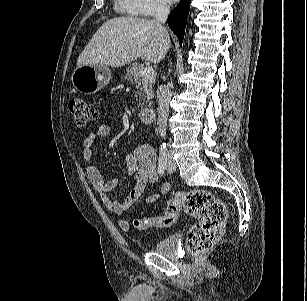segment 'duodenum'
Instances as JSON below:
<instances>
[{"label": "duodenum", "instance_id": "1", "mask_svg": "<svg viewBox=\"0 0 307 301\" xmlns=\"http://www.w3.org/2000/svg\"><path fill=\"white\" fill-rule=\"evenodd\" d=\"M140 123L151 124L155 118V109L152 107L143 108L138 114Z\"/></svg>", "mask_w": 307, "mask_h": 301}]
</instances>
